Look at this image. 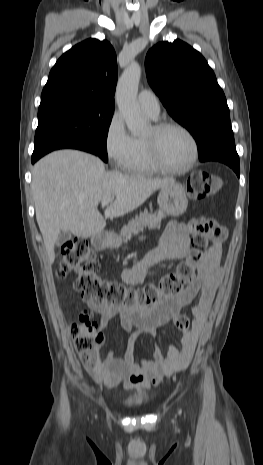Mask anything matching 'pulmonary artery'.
Returning <instances> with one entry per match:
<instances>
[{
    "label": "pulmonary artery",
    "instance_id": "e3ab8cb5",
    "mask_svg": "<svg viewBox=\"0 0 263 465\" xmlns=\"http://www.w3.org/2000/svg\"><path fill=\"white\" fill-rule=\"evenodd\" d=\"M140 108L151 118L159 116L160 104L156 95L150 90H142L138 95Z\"/></svg>",
    "mask_w": 263,
    "mask_h": 465
}]
</instances>
